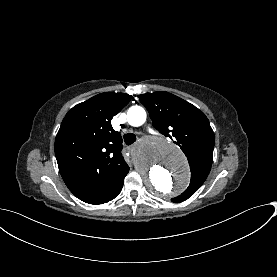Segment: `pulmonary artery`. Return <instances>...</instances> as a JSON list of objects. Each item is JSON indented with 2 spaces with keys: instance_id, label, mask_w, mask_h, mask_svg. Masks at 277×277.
Listing matches in <instances>:
<instances>
[{
  "instance_id": "1",
  "label": "pulmonary artery",
  "mask_w": 277,
  "mask_h": 277,
  "mask_svg": "<svg viewBox=\"0 0 277 277\" xmlns=\"http://www.w3.org/2000/svg\"><path fill=\"white\" fill-rule=\"evenodd\" d=\"M132 107H134V106H132ZM139 107V106H138ZM147 131H148V133H150V134H155V136H157V137H160V136H162V134H163V132H161V131H159V129L157 128H155V126H153V125H150V126H148V128H147Z\"/></svg>"
}]
</instances>
